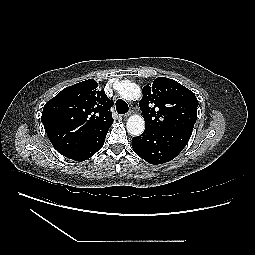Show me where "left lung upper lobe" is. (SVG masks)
<instances>
[{"mask_svg": "<svg viewBox=\"0 0 255 255\" xmlns=\"http://www.w3.org/2000/svg\"><path fill=\"white\" fill-rule=\"evenodd\" d=\"M139 106L145 129L192 134L198 101L192 91L177 81L166 77L156 78L152 85L143 87Z\"/></svg>", "mask_w": 255, "mask_h": 255, "instance_id": "obj_1", "label": "left lung upper lobe"}]
</instances>
